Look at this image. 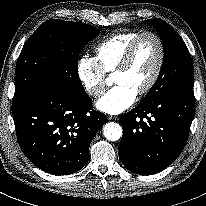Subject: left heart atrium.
Masks as SVG:
<instances>
[{"mask_svg": "<svg viewBox=\"0 0 206 206\" xmlns=\"http://www.w3.org/2000/svg\"><path fill=\"white\" fill-rule=\"evenodd\" d=\"M136 96L137 93L129 87L116 85L96 102V107L106 114L117 115L131 107Z\"/></svg>", "mask_w": 206, "mask_h": 206, "instance_id": "39dd6f15", "label": "left heart atrium"}]
</instances>
